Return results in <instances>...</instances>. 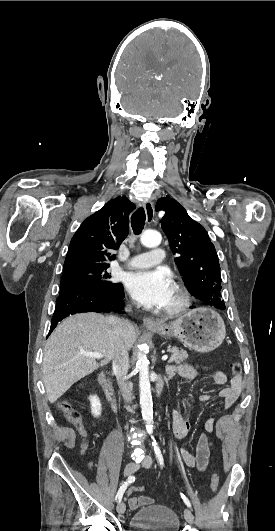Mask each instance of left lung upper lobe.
<instances>
[{"label":"left lung upper lobe","instance_id":"obj_1","mask_svg":"<svg viewBox=\"0 0 275 531\" xmlns=\"http://www.w3.org/2000/svg\"><path fill=\"white\" fill-rule=\"evenodd\" d=\"M155 209L165 212L162 229L172 252L179 254L176 264L188 291L205 305L225 309L218 256L204 227L169 196L160 198Z\"/></svg>","mask_w":275,"mask_h":531}]
</instances>
